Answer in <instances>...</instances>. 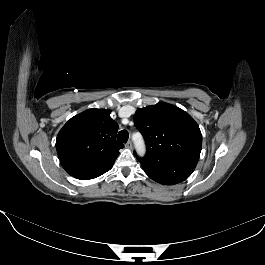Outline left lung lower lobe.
Wrapping results in <instances>:
<instances>
[{"label":"left lung lower lobe","instance_id":"1","mask_svg":"<svg viewBox=\"0 0 265 265\" xmlns=\"http://www.w3.org/2000/svg\"><path fill=\"white\" fill-rule=\"evenodd\" d=\"M199 158H188L174 162L142 165L146 174L164 185H174L187 179L194 171Z\"/></svg>","mask_w":265,"mask_h":265}]
</instances>
